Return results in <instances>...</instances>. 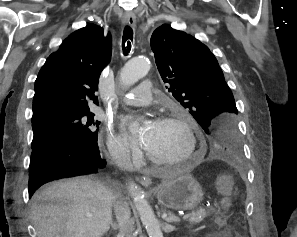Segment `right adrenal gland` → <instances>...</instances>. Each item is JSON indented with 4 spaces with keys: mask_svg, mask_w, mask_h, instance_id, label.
Masks as SVG:
<instances>
[{
    "mask_svg": "<svg viewBox=\"0 0 297 237\" xmlns=\"http://www.w3.org/2000/svg\"><path fill=\"white\" fill-rule=\"evenodd\" d=\"M111 225L115 230L119 229V225L116 222H113Z\"/></svg>",
    "mask_w": 297,
    "mask_h": 237,
    "instance_id": "2a0ac1e0",
    "label": "right adrenal gland"
}]
</instances>
